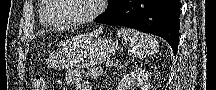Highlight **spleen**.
<instances>
[{"label":"spleen","instance_id":"1","mask_svg":"<svg viewBox=\"0 0 216 90\" xmlns=\"http://www.w3.org/2000/svg\"><path fill=\"white\" fill-rule=\"evenodd\" d=\"M117 36L127 42L132 58H139V60L149 58V56H154L159 48L155 38H152L149 34L138 32V30L119 28Z\"/></svg>","mask_w":216,"mask_h":90}]
</instances>
